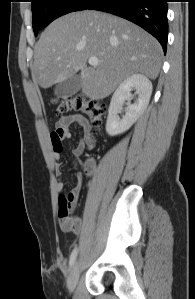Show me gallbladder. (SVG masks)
Instances as JSON below:
<instances>
[{
  "instance_id": "bac80fb5",
  "label": "gallbladder",
  "mask_w": 195,
  "mask_h": 299,
  "mask_svg": "<svg viewBox=\"0 0 195 299\" xmlns=\"http://www.w3.org/2000/svg\"><path fill=\"white\" fill-rule=\"evenodd\" d=\"M82 82L80 75H73L70 78L58 83L54 93L58 97H69L77 93L81 88Z\"/></svg>"
}]
</instances>
